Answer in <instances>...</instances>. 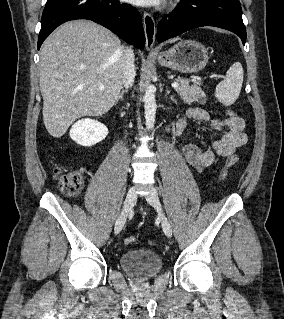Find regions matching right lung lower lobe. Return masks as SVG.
<instances>
[{"mask_svg": "<svg viewBox=\"0 0 284 319\" xmlns=\"http://www.w3.org/2000/svg\"><path fill=\"white\" fill-rule=\"evenodd\" d=\"M88 19L108 28L123 40L143 48L142 18L134 7L118 0H47L38 37V49L47 36L62 23Z\"/></svg>", "mask_w": 284, "mask_h": 319, "instance_id": "obj_1", "label": "right lung lower lobe"}]
</instances>
